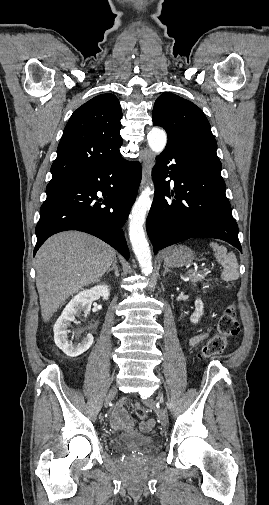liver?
<instances>
[{
    "label": "liver",
    "mask_w": 269,
    "mask_h": 505,
    "mask_svg": "<svg viewBox=\"0 0 269 505\" xmlns=\"http://www.w3.org/2000/svg\"><path fill=\"white\" fill-rule=\"evenodd\" d=\"M116 252L96 237L67 231L50 237L36 254V286L41 315L48 322L65 301L110 268Z\"/></svg>",
    "instance_id": "obj_1"
}]
</instances>
